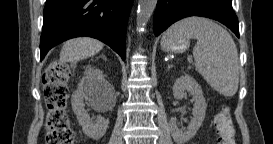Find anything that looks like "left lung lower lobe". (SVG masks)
Segmentation results:
<instances>
[{"label": "left lung lower lobe", "instance_id": "obj_1", "mask_svg": "<svg viewBox=\"0 0 273 144\" xmlns=\"http://www.w3.org/2000/svg\"><path fill=\"white\" fill-rule=\"evenodd\" d=\"M188 16L217 20L239 37L238 18L233 11L232 0H158L153 25L155 35Z\"/></svg>", "mask_w": 273, "mask_h": 144}]
</instances>
